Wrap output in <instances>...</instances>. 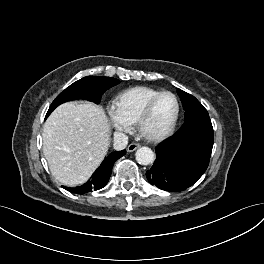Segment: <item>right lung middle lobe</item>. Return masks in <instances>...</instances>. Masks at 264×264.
I'll list each match as a JSON object with an SVG mask.
<instances>
[{
    "instance_id": "right-lung-middle-lobe-1",
    "label": "right lung middle lobe",
    "mask_w": 264,
    "mask_h": 264,
    "mask_svg": "<svg viewBox=\"0 0 264 264\" xmlns=\"http://www.w3.org/2000/svg\"><path fill=\"white\" fill-rule=\"evenodd\" d=\"M120 81L112 77L87 76L61 92L51 104L46 117L60 104L75 100L87 99L99 103L102 94L109 88L117 85Z\"/></svg>"
}]
</instances>
